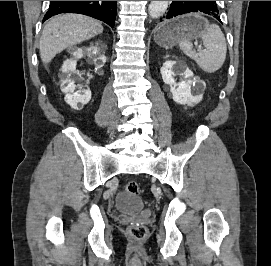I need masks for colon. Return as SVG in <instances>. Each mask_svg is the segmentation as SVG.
<instances>
[{"label":"colon","instance_id":"5ec220e1","mask_svg":"<svg viewBox=\"0 0 271 266\" xmlns=\"http://www.w3.org/2000/svg\"><path fill=\"white\" fill-rule=\"evenodd\" d=\"M125 191L133 195L139 194V184L136 181H129L125 185ZM130 235L135 240L141 241L147 237L148 230L143 224H135L130 228Z\"/></svg>","mask_w":271,"mask_h":266}]
</instances>
